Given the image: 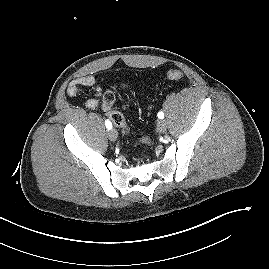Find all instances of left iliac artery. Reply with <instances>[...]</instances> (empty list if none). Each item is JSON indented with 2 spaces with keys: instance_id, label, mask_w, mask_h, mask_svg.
Instances as JSON below:
<instances>
[{
  "instance_id": "1",
  "label": "left iliac artery",
  "mask_w": 269,
  "mask_h": 269,
  "mask_svg": "<svg viewBox=\"0 0 269 269\" xmlns=\"http://www.w3.org/2000/svg\"><path fill=\"white\" fill-rule=\"evenodd\" d=\"M158 118H159V119H163V118H164V113L160 111V112L158 113Z\"/></svg>"
}]
</instances>
